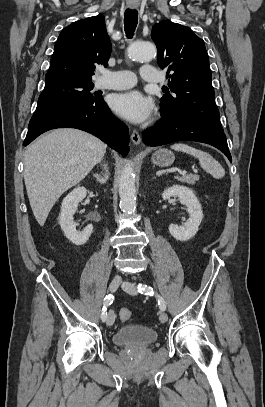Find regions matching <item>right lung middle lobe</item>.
<instances>
[{
  "instance_id": "right-lung-middle-lobe-1",
  "label": "right lung middle lobe",
  "mask_w": 265,
  "mask_h": 407,
  "mask_svg": "<svg viewBox=\"0 0 265 407\" xmlns=\"http://www.w3.org/2000/svg\"><path fill=\"white\" fill-rule=\"evenodd\" d=\"M93 88L94 84L91 81L73 79L46 81L33 117L59 109L92 104L101 98L91 93Z\"/></svg>"
}]
</instances>
